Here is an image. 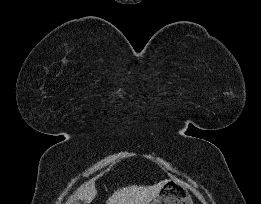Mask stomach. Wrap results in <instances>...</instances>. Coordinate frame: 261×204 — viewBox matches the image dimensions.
I'll use <instances>...</instances> for the list:
<instances>
[{
    "label": "stomach",
    "instance_id": "stomach-1",
    "mask_svg": "<svg viewBox=\"0 0 261 204\" xmlns=\"http://www.w3.org/2000/svg\"><path fill=\"white\" fill-rule=\"evenodd\" d=\"M151 204H193V201L185 185L177 179H171L161 187Z\"/></svg>",
    "mask_w": 261,
    "mask_h": 204
}]
</instances>
